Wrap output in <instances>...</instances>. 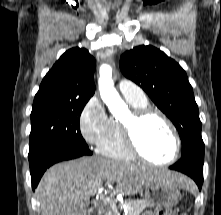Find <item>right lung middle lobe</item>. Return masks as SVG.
Here are the masks:
<instances>
[{
	"label": "right lung middle lobe",
	"instance_id": "1",
	"mask_svg": "<svg viewBox=\"0 0 221 215\" xmlns=\"http://www.w3.org/2000/svg\"><path fill=\"white\" fill-rule=\"evenodd\" d=\"M87 102H41L33 104L29 160L58 145L87 146L79 119Z\"/></svg>",
	"mask_w": 221,
	"mask_h": 215
}]
</instances>
